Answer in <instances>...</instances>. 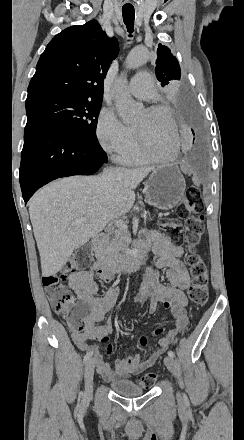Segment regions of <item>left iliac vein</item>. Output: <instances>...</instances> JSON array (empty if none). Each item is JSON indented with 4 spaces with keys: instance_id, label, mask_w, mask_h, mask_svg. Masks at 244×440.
Masks as SVG:
<instances>
[{
    "instance_id": "1",
    "label": "left iliac vein",
    "mask_w": 244,
    "mask_h": 440,
    "mask_svg": "<svg viewBox=\"0 0 244 440\" xmlns=\"http://www.w3.org/2000/svg\"><path fill=\"white\" fill-rule=\"evenodd\" d=\"M165 365L169 371L174 373L176 371V362L173 357L166 356L164 358Z\"/></svg>"
}]
</instances>
